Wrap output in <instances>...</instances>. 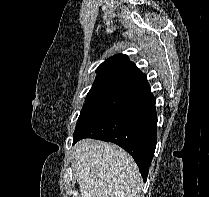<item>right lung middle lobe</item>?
Here are the masks:
<instances>
[{
	"instance_id": "obj_1",
	"label": "right lung middle lobe",
	"mask_w": 209,
	"mask_h": 197,
	"mask_svg": "<svg viewBox=\"0 0 209 197\" xmlns=\"http://www.w3.org/2000/svg\"><path fill=\"white\" fill-rule=\"evenodd\" d=\"M140 94L113 83H94L87 94L75 132Z\"/></svg>"
}]
</instances>
